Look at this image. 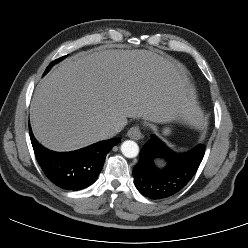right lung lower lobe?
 Instances as JSON below:
<instances>
[{
  "label": "right lung lower lobe",
  "mask_w": 248,
  "mask_h": 248,
  "mask_svg": "<svg viewBox=\"0 0 248 248\" xmlns=\"http://www.w3.org/2000/svg\"><path fill=\"white\" fill-rule=\"evenodd\" d=\"M36 159L45 175L58 187L65 190H81L93 184L106 155L120 139L104 140L86 148L58 153L41 146L29 128Z\"/></svg>",
  "instance_id": "right-lung-lower-lobe-1"
}]
</instances>
